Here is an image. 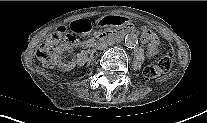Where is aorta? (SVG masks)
Instances as JSON below:
<instances>
[{"label":"aorta","instance_id":"obj_1","mask_svg":"<svg viewBox=\"0 0 207 123\" xmlns=\"http://www.w3.org/2000/svg\"><path fill=\"white\" fill-rule=\"evenodd\" d=\"M138 39L137 36L133 33L127 34L125 36V45L128 47H133L137 44Z\"/></svg>","mask_w":207,"mask_h":123}]
</instances>
